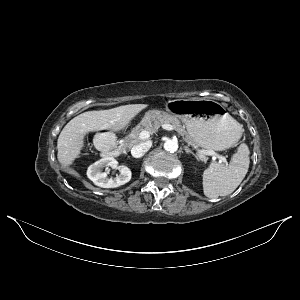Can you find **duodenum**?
I'll list each match as a JSON object with an SVG mask.
<instances>
[{
    "label": "duodenum",
    "mask_w": 300,
    "mask_h": 300,
    "mask_svg": "<svg viewBox=\"0 0 300 300\" xmlns=\"http://www.w3.org/2000/svg\"><path fill=\"white\" fill-rule=\"evenodd\" d=\"M110 135L109 134H104L98 137V144L103 150V154L106 157H114L117 158L120 156L121 151L119 149H113L111 145L109 144Z\"/></svg>",
    "instance_id": "1"
}]
</instances>
